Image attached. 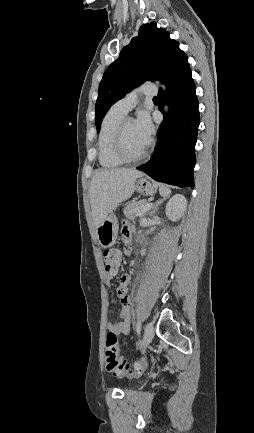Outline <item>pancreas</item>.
I'll return each mask as SVG.
<instances>
[{"label": "pancreas", "instance_id": "1", "mask_svg": "<svg viewBox=\"0 0 254 433\" xmlns=\"http://www.w3.org/2000/svg\"><path fill=\"white\" fill-rule=\"evenodd\" d=\"M147 204L148 203L146 200L133 201L127 204L123 210L125 217L129 219H134L137 216L143 217L150 214L148 209L145 213L138 215V212L141 210V208H143Z\"/></svg>", "mask_w": 254, "mask_h": 433}]
</instances>
